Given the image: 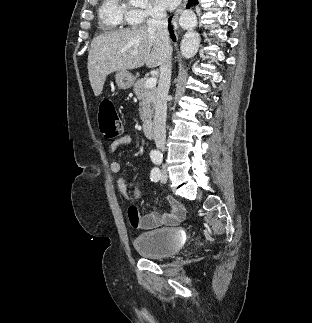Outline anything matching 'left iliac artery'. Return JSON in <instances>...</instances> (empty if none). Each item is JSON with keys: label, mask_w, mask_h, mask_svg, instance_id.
Segmentation results:
<instances>
[{"label": "left iliac artery", "mask_w": 312, "mask_h": 323, "mask_svg": "<svg viewBox=\"0 0 312 323\" xmlns=\"http://www.w3.org/2000/svg\"><path fill=\"white\" fill-rule=\"evenodd\" d=\"M153 161L156 163V164H159L160 163V160L159 159H153ZM159 177H160V171L158 168H154L152 169L151 171V181H158L159 180Z\"/></svg>", "instance_id": "1"}]
</instances>
